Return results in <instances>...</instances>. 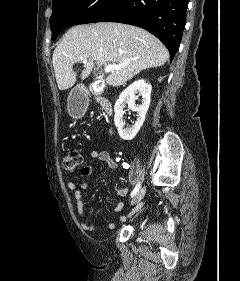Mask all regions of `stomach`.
I'll return each instance as SVG.
<instances>
[{
  "label": "stomach",
  "instance_id": "1",
  "mask_svg": "<svg viewBox=\"0 0 240 281\" xmlns=\"http://www.w3.org/2000/svg\"><path fill=\"white\" fill-rule=\"evenodd\" d=\"M73 92L74 91H71V93L69 95L67 110L71 116L78 117L81 114V109L73 100Z\"/></svg>",
  "mask_w": 240,
  "mask_h": 281
}]
</instances>
